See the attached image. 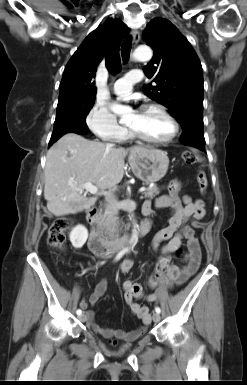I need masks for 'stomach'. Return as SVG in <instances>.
<instances>
[{
	"instance_id": "stomach-1",
	"label": "stomach",
	"mask_w": 247,
	"mask_h": 385,
	"mask_svg": "<svg viewBox=\"0 0 247 385\" xmlns=\"http://www.w3.org/2000/svg\"><path fill=\"white\" fill-rule=\"evenodd\" d=\"M128 161L134 175L146 184L162 179L169 166L167 153L151 147L133 148Z\"/></svg>"
}]
</instances>
